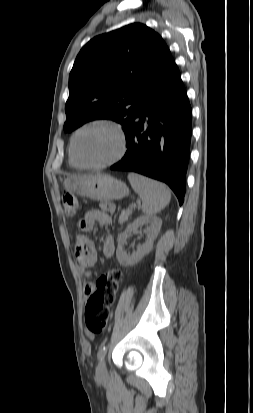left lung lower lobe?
Masks as SVG:
<instances>
[{
  "instance_id": "0a47b994",
  "label": "left lung lower lobe",
  "mask_w": 253,
  "mask_h": 413,
  "mask_svg": "<svg viewBox=\"0 0 253 413\" xmlns=\"http://www.w3.org/2000/svg\"><path fill=\"white\" fill-rule=\"evenodd\" d=\"M192 134V110L181 75L171 60L146 94L126 132L128 150L112 170L132 171L165 182L184 202Z\"/></svg>"
}]
</instances>
